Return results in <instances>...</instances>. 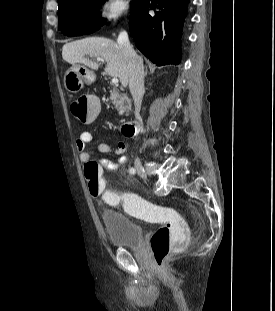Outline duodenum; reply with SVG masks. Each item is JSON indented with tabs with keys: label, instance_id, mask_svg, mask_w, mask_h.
I'll list each match as a JSON object with an SVG mask.
<instances>
[{
	"label": "duodenum",
	"instance_id": "410a0bca",
	"mask_svg": "<svg viewBox=\"0 0 275 311\" xmlns=\"http://www.w3.org/2000/svg\"><path fill=\"white\" fill-rule=\"evenodd\" d=\"M140 122L139 121H129L123 122L121 124V132L124 136H134L139 130Z\"/></svg>",
	"mask_w": 275,
	"mask_h": 311
}]
</instances>
